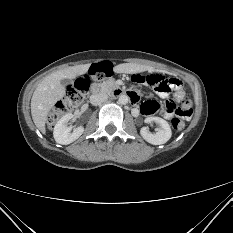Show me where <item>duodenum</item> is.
<instances>
[{"instance_id": "obj_1", "label": "duodenum", "mask_w": 233, "mask_h": 233, "mask_svg": "<svg viewBox=\"0 0 233 233\" xmlns=\"http://www.w3.org/2000/svg\"><path fill=\"white\" fill-rule=\"evenodd\" d=\"M103 89H104V86L100 82H97V83H95L94 85L91 86V91L92 92L100 93V92L103 91ZM113 93L116 96H127L132 101H136L137 100V96H136L135 93H133V92H127V91H125V90H123L121 88H116Z\"/></svg>"}]
</instances>
